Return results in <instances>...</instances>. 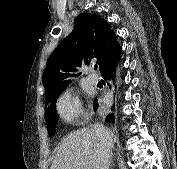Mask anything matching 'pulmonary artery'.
Masks as SVG:
<instances>
[{
    "mask_svg": "<svg viewBox=\"0 0 177 169\" xmlns=\"http://www.w3.org/2000/svg\"><path fill=\"white\" fill-rule=\"evenodd\" d=\"M87 80L91 84H97L99 82V77L96 74L91 73L87 76Z\"/></svg>",
    "mask_w": 177,
    "mask_h": 169,
    "instance_id": "1",
    "label": "pulmonary artery"
}]
</instances>
